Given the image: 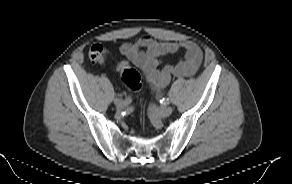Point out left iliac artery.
Listing matches in <instances>:
<instances>
[{"label":"left iliac artery","instance_id":"left-iliac-artery-1","mask_svg":"<svg viewBox=\"0 0 292 184\" xmlns=\"http://www.w3.org/2000/svg\"><path fill=\"white\" fill-rule=\"evenodd\" d=\"M160 102L164 105H168L170 103L168 98H163L162 100H160Z\"/></svg>","mask_w":292,"mask_h":184}]
</instances>
